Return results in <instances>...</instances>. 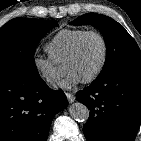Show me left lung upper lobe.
<instances>
[{"label":"left lung upper lobe","instance_id":"left-lung-upper-lobe-1","mask_svg":"<svg viewBox=\"0 0 141 141\" xmlns=\"http://www.w3.org/2000/svg\"><path fill=\"white\" fill-rule=\"evenodd\" d=\"M71 25L91 24L100 30L106 43V60L98 79L124 70H141V51L125 28L110 17L88 13Z\"/></svg>","mask_w":141,"mask_h":141}]
</instances>
